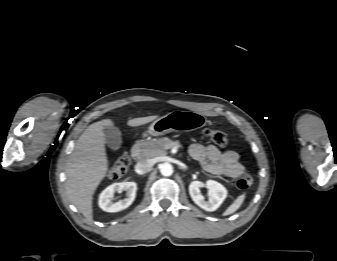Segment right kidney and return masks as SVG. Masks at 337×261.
Returning <instances> with one entry per match:
<instances>
[{
	"label": "right kidney",
	"mask_w": 337,
	"mask_h": 261,
	"mask_svg": "<svg viewBox=\"0 0 337 261\" xmlns=\"http://www.w3.org/2000/svg\"><path fill=\"white\" fill-rule=\"evenodd\" d=\"M137 184L135 182L114 183L108 186L99 196V206L106 212H118L129 207L135 199ZM126 191V198L113 202L115 192Z\"/></svg>",
	"instance_id": "obj_1"
}]
</instances>
